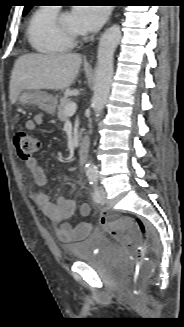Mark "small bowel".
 Masks as SVG:
<instances>
[{"label": "small bowel", "mask_w": 184, "mask_h": 327, "mask_svg": "<svg viewBox=\"0 0 184 327\" xmlns=\"http://www.w3.org/2000/svg\"><path fill=\"white\" fill-rule=\"evenodd\" d=\"M43 119V113L35 114L26 122L27 129L34 130L43 122ZM26 167L30 171L36 185L43 187L48 184L49 176L39 165L36 158L26 161ZM33 200L44 215L57 225L56 234L60 240H79L86 237L90 232L91 224L89 222H80L75 225L66 222L74 215L76 210L75 202L68 196L61 194L52 202L45 191H36L33 193ZM89 213L90 206L87 203L81 204L80 214L87 216Z\"/></svg>", "instance_id": "1"}]
</instances>
